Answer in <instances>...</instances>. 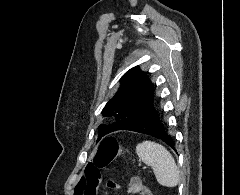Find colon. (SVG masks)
<instances>
[{
    "instance_id": "1",
    "label": "colon",
    "mask_w": 240,
    "mask_h": 195,
    "mask_svg": "<svg viewBox=\"0 0 240 195\" xmlns=\"http://www.w3.org/2000/svg\"><path fill=\"white\" fill-rule=\"evenodd\" d=\"M120 144L117 139L105 138L95 153V166H87L85 172L86 186H77L76 195H93L102 182L100 169L108 166L119 154Z\"/></svg>"
}]
</instances>
